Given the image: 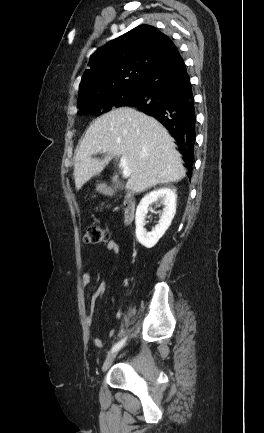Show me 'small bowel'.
Here are the masks:
<instances>
[{"mask_svg": "<svg viewBox=\"0 0 264 433\" xmlns=\"http://www.w3.org/2000/svg\"><path fill=\"white\" fill-rule=\"evenodd\" d=\"M106 247H107L108 253L111 255H117L120 252L119 244L113 240L109 241L107 243ZM81 280H82V284L84 286H87L91 283V275L89 273L85 272V273H83ZM105 291H106L105 283H100L95 290V293H94V295L92 297V301H91V312L86 317V323L89 327L92 325V322H93L92 311L94 308V303L98 298H102L104 296ZM114 333H115V331L113 329H111L108 331V336L112 337L114 335ZM93 343L98 348H101L104 346V341L101 338H96Z\"/></svg>", "mask_w": 264, "mask_h": 433, "instance_id": "small-bowel-1", "label": "small bowel"}]
</instances>
